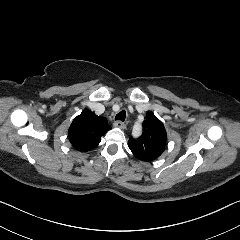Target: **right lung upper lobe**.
<instances>
[{
  "label": "right lung upper lobe",
  "instance_id": "obj_1",
  "mask_svg": "<svg viewBox=\"0 0 240 240\" xmlns=\"http://www.w3.org/2000/svg\"><path fill=\"white\" fill-rule=\"evenodd\" d=\"M111 127L105 118L98 117L88 109L74 118L68 131L73 147L79 151H89L95 148Z\"/></svg>",
  "mask_w": 240,
  "mask_h": 240
}]
</instances>
